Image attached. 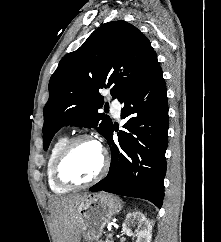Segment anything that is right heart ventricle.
Segmentation results:
<instances>
[{
	"label": "right heart ventricle",
	"instance_id": "1",
	"mask_svg": "<svg viewBox=\"0 0 221 242\" xmlns=\"http://www.w3.org/2000/svg\"><path fill=\"white\" fill-rule=\"evenodd\" d=\"M66 142H67L66 136L64 135L59 136L52 144L49 150L47 162H46V177H47L48 186L52 192L58 193V194L65 193L69 190V188L59 185L53 177V165H54L55 159Z\"/></svg>",
	"mask_w": 221,
	"mask_h": 242
}]
</instances>
